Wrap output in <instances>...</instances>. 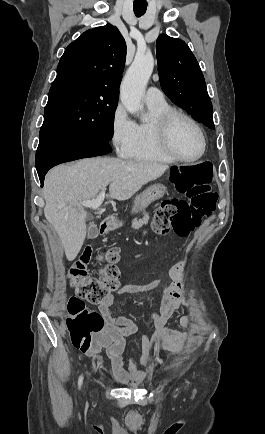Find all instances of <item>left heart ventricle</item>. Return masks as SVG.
Wrapping results in <instances>:
<instances>
[{
    "label": "left heart ventricle",
    "instance_id": "1",
    "mask_svg": "<svg viewBox=\"0 0 265 434\" xmlns=\"http://www.w3.org/2000/svg\"><path fill=\"white\" fill-rule=\"evenodd\" d=\"M172 142L178 154L186 159L199 155L201 138L196 129L184 119H177L173 125Z\"/></svg>",
    "mask_w": 265,
    "mask_h": 434
}]
</instances>
